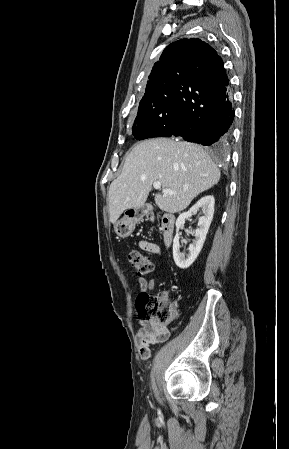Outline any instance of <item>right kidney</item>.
<instances>
[{
  "mask_svg": "<svg viewBox=\"0 0 289 449\" xmlns=\"http://www.w3.org/2000/svg\"><path fill=\"white\" fill-rule=\"evenodd\" d=\"M214 205L215 199L213 195L204 196L194 206H192L189 211L180 214V216L177 218L176 236L173 240V258L175 264L179 268L187 269L193 264L195 259L198 257L205 242L211 221L213 219ZM199 209L202 210L204 215L200 217L198 221V228L194 233L196 240L193 244H190L188 248L189 254L185 256V254L180 252L179 229L184 226L185 220L190 218L192 214L197 213Z\"/></svg>",
  "mask_w": 289,
  "mask_h": 449,
  "instance_id": "ca27d5eb",
  "label": "right kidney"
}]
</instances>
